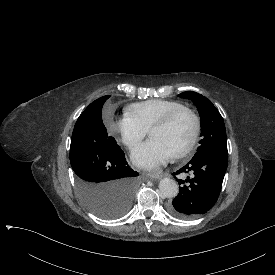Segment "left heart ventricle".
<instances>
[{
    "label": "left heart ventricle",
    "mask_w": 275,
    "mask_h": 275,
    "mask_svg": "<svg viewBox=\"0 0 275 275\" xmlns=\"http://www.w3.org/2000/svg\"><path fill=\"white\" fill-rule=\"evenodd\" d=\"M192 133V121L188 114L178 116L168 128H157L150 132L151 139L166 145L173 155L186 145Z\"/></svg>",
    "instance_id": "b2bd125f"
}]
</instances>
